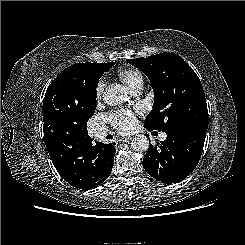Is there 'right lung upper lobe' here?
<instances>
[{"instance_id": "right-lung-upper-lobe-1", "label": "right lung upper lobe", "mask_w": 245, "mask_h": 245, "mask_svg": "<svg viewBox=\"0 0 245 245\" xmlns=\"http://www.w3.org/2000/svg\"><path fill=\"white\" fill-rule=\"evenodd\" d=\"M115 63H78L64 69L47 88L43 102L44 139L71 140L91 117L89 89Z\"/></svg>"}]
</instances>
